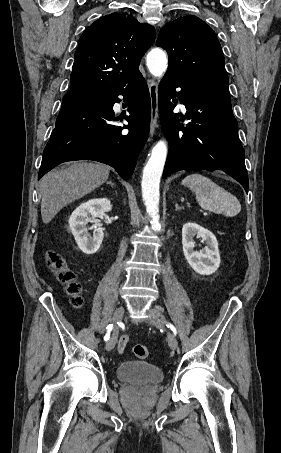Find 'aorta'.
Wrapping results in <instances>:
<instances>
[{"label": "aorta", "mask_w": 281, "mask_h": 453, "mask_svg": "<svg viewBox=\"0 0 281 453\" xmlns=\"http://www.w3.org/2000/svg\"><path fill=\"white\" fill-rule=\"evenodd\" d=\"M146 64L149 72L154 76L161 78L167 69V54L159 48L152 49L146 58ZM168 147L166 140H160L152 148L151 155L147 161L142 177V197L146 210L152 217L151 225L153 230L160 231L159 223V187L163 168L167 157Z\"/></svg>", "instance_id": "1"}]
</instances>
